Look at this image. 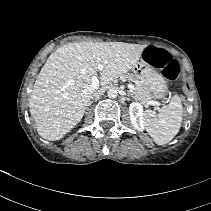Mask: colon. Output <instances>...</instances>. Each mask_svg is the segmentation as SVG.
I'll use <instances>...</instances> for the list:
<instances>
[{
	"label": "colon",
	"instance_id": "1",
	"mask_svg": "<svg viewBox=\"0 0 211 211\" xmlns=\"http://www.w3.org/2000/svg\"><path fill=\"white\" fill-rule=\"evenodd\" d=\"M144 58L150 65L160 69L168 80H175L180 73L178 62L164 49L149 47L145 50Z\"/></svg>",
	"mask_w": 211,
	"mask_h": 211
}]
</instances>
